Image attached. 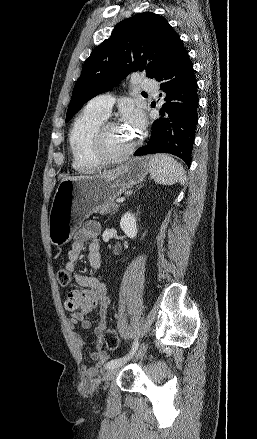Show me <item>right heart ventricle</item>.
<instances>
[{"label": "right heart ventricle", "instance_id": "right-heart-ventricle-1", "mask_svg": "<svg viewBox=\"0 0 257 439\" xmlns=\"http://www.w3.org/2000/svg\"><path fill=\"white\" fill-rule=\"evenodd\" d=\"M105 116L85 108L75 119L69 133V147L72 154V166L81 173L95 171L99 165L93 147V137L97 127Z\"/></svg>", "mask_w": 257, "mask_h": 439}]
</instances>
